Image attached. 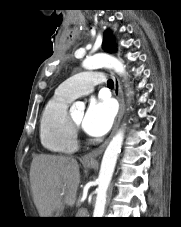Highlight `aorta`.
<instances>
[{"instance_id": "762f6f07", "label": "aorta", "mask_w": 181, "mask_h": 227, "mask_svg": "<svg viewBox=\"0 0 181 227\" xmlns=\"http://www.w3.org/2000/svg\"><path fill=\"white\" fill-rule=\"evenodd\" d=\"M83 67L85 69L107 67L113 69L122 76H125L126 74L124 64L117 58L108 54H96L85 59L83 62ZM74 106L83 107V104L76 103L74 104ZM123 139L124 130L119 129L110 141L103 155L98 177V188L96 190L97 196L93 217H103L105 211L107 189L112 179L118 154L121 151Z\"/></svg>"}]
</instances>
